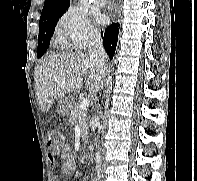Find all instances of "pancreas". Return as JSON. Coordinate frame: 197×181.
<instances>
[{
	"mask_svg": "<svg viewBox=\"0 0 197 181\" xmlns=\"http://www.w3.org/2000/svg\"><path fill=\"white\" fill-rule=\"evenodd\" d=\"M87 112L86 110L80 109V102H74L70 112H69V121L75 122L78 121L81 128V136L83 140L88 139V125H87Z\"/></svg>",
	"mask_w": 197,
	"mask_h": 181,
	"instance_id": "cf45deb5",
	"label": "pancreas"
}]
</instances>
